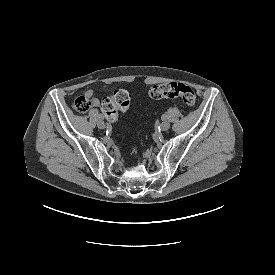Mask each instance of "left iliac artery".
<instances>
[{
    "instance_id": "obj_1",
    "label": "left iliac artery",
    "mask_w": 275,
    "mask_h": 275,
    "mask_svg": "<svg viewBox=\"0 0 275 275\" xmlns=\"http://www.w3.org/2000/svg\"><path fill=\"white\" fill-rule=\"evenodd\" d=\"M162 119H163V120H166V119H167V115H166V114H163V115H162Z\"/></svg>"
}]
</instances>
